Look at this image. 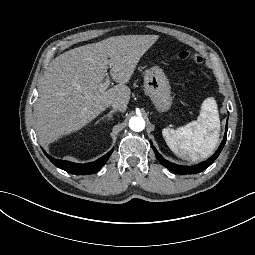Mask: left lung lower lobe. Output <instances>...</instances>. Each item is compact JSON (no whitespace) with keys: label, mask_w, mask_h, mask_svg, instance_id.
Returning <instances> with one entry per match:
<instances>
[{"label":"left lung lower lobe","mask_w":255,"mask_h":255,"mask_svg":"<svg viewBox=\"0 0 255 255\" xmlns=\"http://www.w3.org/2000/svg\"><path fill=\"white\" fill-rule=\"evenodd\" d=\"M227 130H228V122L226 123V132L224 135V138L218 148V150L215 152V154L209 158L208 160L199 163L197 165L194 166H180V165H176L174 163H171L167 160H165L156 150V148L153 146V144L151 143V146L158 158V160L160 161V163L165 166L167 169H169L170 171L174 172V173H178V174H194V173H199L202 172L204 169H206L208 166H210L215 160L216 158L219 156L220 152L222 151L225 142H226V136H227Z\"/></svg>","instance_id":"left-lung-lower-lobe-1"}]
</instances>
